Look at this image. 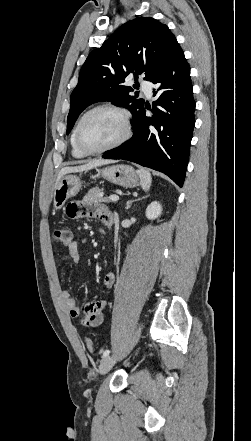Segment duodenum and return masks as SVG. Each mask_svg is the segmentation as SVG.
Here are the masks:
<instances>
[{
    "mask_svg": "<svg viewBox=\"0 0 251 441\" xmlns=\"http://www.w3.org/2000/svg\"><path fill=\"white\" fill-rule=\"evenodd\" d=\"M112 225H113V221H108V222L106 223V226H107L108 228H111Z\"/></svg>",
    "mask_w": 251,
    "mask_h": 441,
    "instance_id": "obj_1",
    "label": "duodenum"
}]
</instances>
